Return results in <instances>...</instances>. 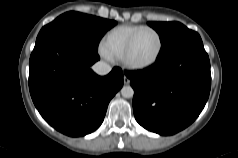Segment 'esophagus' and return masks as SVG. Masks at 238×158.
I'll return each mask as SVG.
<instances>
[{
	"label": "esophagus",
	"instance_id": "obj_1",
	"mask_svg": "<svg viewBox=\"0 0 238 158\" xmlns=\"http://www.w3.org/2000/svg\"><path fill=\"white\" fill-rule=\"evenodd\" d=\"M123 82L125 85H128L130 83V79L126 75H124Z\"/></svg>",
	"mask_w": 238,
	"mask_h": 158
}]
</instances>
